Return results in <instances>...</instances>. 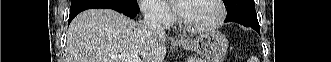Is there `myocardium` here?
<instances>
[{"instance_id":"obj_1","label":"myocardium","mask_w":331,"mask_h":62,"mask_svg":"<svg viewBox=\"0 0 331 62\" xmlns=\"http://www.w3.org/2000/svg\"><path fill=\"white\" fill-rule=\"evenodd\" d=\"M218 8V15L215 18L214 21L203 24V25H193L187 23L181 16V14H178V23L180 26H182L184 29L191 31V32H205L210 31L218 28L225 20L226 18V8L224 5V2L222 0H213Z\"/></svg>"}]
</instances>
